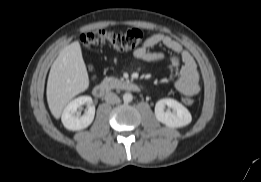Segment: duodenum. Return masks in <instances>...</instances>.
I'll use <instances>...</instances> for the list:
<instances>
[{
  "instance_id": "duodenum-1",
  "label": "duodenum",
  "mask_w": 261,
  "mask_h": 182,
  "mask_svg": "<svg viewBox=\"0 0 261 182\" xmlns=\"http://www.w3.org/2000/svg\"><path fill=\"white\" fill-rule=\"evenodd\" d=\"M121 87L125 90L134 91V92H137L140 90L139 86L136 83H134L133 81H126L121 84ZM108 90H109V88L106 85H102V84L97 85L93 89V95L96 98H103L107 94Z\"/></svg>"
}]
</instances>
